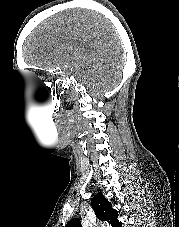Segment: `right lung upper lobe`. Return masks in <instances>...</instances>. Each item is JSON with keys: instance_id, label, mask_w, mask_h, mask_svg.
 <instances>
[{"instance_id": "cb5924a9", "label": "right lung upper lobe", "mask_w": 179, "mask_h": 227, "mask_svg": "<svg viewBox=\"0 0 179 227\" xmlns=\"http://www.w3.org/2000/svg\"><path fill=\"white\" fill-rule=\"evenodd\" d=\"M91 205L98 219L107 221L111 227H122L118 221V213L112 208L111 203L99 192L91 200ZM65 227H81V222L78 218L70 220Z\"/></svg>"}]
</instances>
